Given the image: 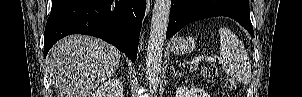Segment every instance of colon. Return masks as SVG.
<instances>
[{"label": "colon", "mask_w": 302, "mask_h": 97, "mask_svg": "<svg viewBox=\"0 0 302 97\" xmlns=\"http://www.w3.org/2000/svg\"><path fill=\"white\" fill-rule=\"evenodd\" d=\"M202 76L207 82H216L218 78V73L214 67L204 66L202 69ZM225 86L228 89H232L235 86V82L231 79H226Z\"/></svg>", "instance_id": "5ec220e1"}]
</instances>
